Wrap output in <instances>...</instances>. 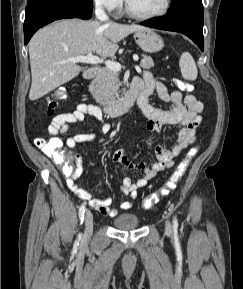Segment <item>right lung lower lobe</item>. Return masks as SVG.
<instances>
[{
    "label": "right lung lower lobe",
    "mask_w": 243,
    "mask_h": 289,
    "mask_svg": "<svg viewBox=\"0 0 243 289\" xmlns=\"http://www.w3.org/2000/svg\"><path fill=\"white\" fill-rule=\"evenodd\" d=\"M93 0H28L24 22L25 44L42 26L63 18H91Z\"/></svg>",
    "instance_id": "obj_1"
}]
</instances>
